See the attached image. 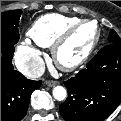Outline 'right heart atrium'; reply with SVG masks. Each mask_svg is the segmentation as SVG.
Listing matches in <instances>:
<instances>
[{
	"mask_svg": "<svg viewBox=\"0 0 121 121\" xmlns=\"http://www.w3.org/2000/svg\"><path fill=\"white\" fill-rule=\"evenodd\" d=\"M15 63L25 75H35L41 71V52L30 41L22 40L15 53Z\"/></svg>",
	"mask_w": 121,
	"mask_h": 121,
	"instance_id": "right-heart-atrium-1",
	"label": "right heart atrium"
}]
</instances>
